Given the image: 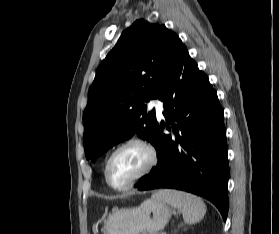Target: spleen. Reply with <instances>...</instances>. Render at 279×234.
<instances>
[{
    "label": "spleen",
    "instance_id": "3e777b00",
    "mask_svg": "<svg viewBox=\"0 0 279 234\" xmlns=\"http://www.w3.org/2000/svg\"><path fill=\"white\" fill-rule=\"evenodd\" d=\"M153 197L180 209L187 224L198 223L206 213V205L202 199L186 192L165 189L158 191Z\"/></svg>",
    "mask_w": 279,
    "mask_h": 234
}]
</instances>
